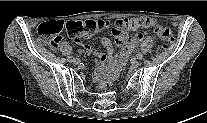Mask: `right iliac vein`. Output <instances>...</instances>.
Masks as SVG:
<instances>
[{
    "label": "right iliac vein",
    "instance_id": "1",
    "mask_svg": "<svg viewBox=\"0 0 207 123\" xmlns=\"http://www.w3.org/2000/svg\"><path fill=\"white\" fill-rule=\"evenodd\" d=\"M74 64H79V60L78 59H73V61H72Z\"/></svg>",
    "mask_w": 207,
    "mask_h": 123
}]
</instances>
